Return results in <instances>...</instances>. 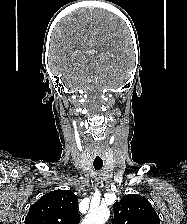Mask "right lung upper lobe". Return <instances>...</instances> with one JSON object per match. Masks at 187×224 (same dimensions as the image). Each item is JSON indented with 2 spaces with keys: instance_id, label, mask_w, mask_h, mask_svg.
Wrapping results in <instances>:
<instances>
[{
  "instance_id": "right-lung-upper-lobe-1",
  "label": "right lung upper lobe",
  "mask_w": 187,
  "mask_h": 224,
  "mask_svg": "<svg viewBox=\"0 0 187 224\" xmlns=\"http://www.w3.org/2000/svg\"><path fill=\"white\" fill-rule=\"evenodd\" d=\"M78 198L70 190H55L31 205L25 224H78Z\"/></svg>"
}]
</instances>
